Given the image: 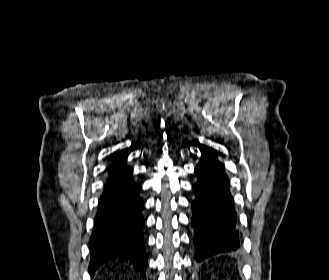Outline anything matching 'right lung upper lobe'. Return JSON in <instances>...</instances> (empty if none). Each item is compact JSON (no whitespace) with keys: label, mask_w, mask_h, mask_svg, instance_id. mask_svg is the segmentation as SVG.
I'll use <instances>...</instances> for the list:
<instances>
[{"label":"right lung upper lobe","mask_w":329,"mask_h":280,"mask_svg":"<svg viewBox=\"0 0 329 280\" xmlns=\"http://www.w3.org/2000/svg\"><path fill=\"white\" fill-rule=\"evenodd\" d=\"M127 155H128V152L119 151V152H115L114 154H112V157H113L114 161H123V160H126Z\"/></svg>","instance_id":"right-lung-upper-lobe-1"}]
</instances>
